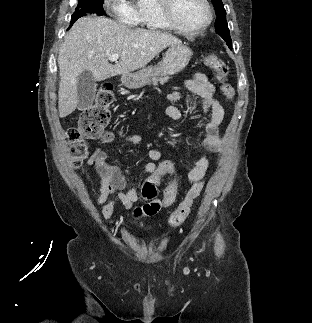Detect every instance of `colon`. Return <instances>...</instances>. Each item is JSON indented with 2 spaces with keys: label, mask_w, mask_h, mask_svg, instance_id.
Here are the masks:
<instances>
[{
  "label": "colon",
  "mask_w": 312,
  "mask_h": 323,
  "mask_svg": "<svg viewBox=\"0 0 312 323\" xmlns=\"http://www.w3.org/2000/svg\"><path fill=\"white\" fill-rule=\"evenodd\" d=\"M204 64L214 70L219 76V86L222 95L232 100L234 98L233 86L225 80L228 73L226 62L218 55H209L205 58ZM114 93L109 81H104L95 95L94 101L83 109L78 117L77 126L68 129L67 140L71 145L73 158H88L90 152L87 149V140H97L99 142H108L112 136V132L108 129L111 120V111L114 105ZM175 162L173 160H163L155 170V177H143L142 194L151 200L143 207V212L146 216H152L157 213L161 204L156 197V186L159 179L158 175H164L165 172L174 171ZM69 168H80V161H69ZM204 190L203 184H192L188 193H185L184 199L181 202L179 210H171V228L177 227L184 217H189L190 207L193 204L196 196H199L200 191ZM174 182H171L165 190L162 199L163 204H173L176 197Z\"/></svg>",
  "instance_id": "5ec220e1"
}]
</instances>
